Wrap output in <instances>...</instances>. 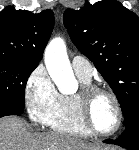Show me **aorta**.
<instances>
[{
    "label": "aorta",
    "instance_id": "aorta-1",
    "mask_svg": "<svg viewBox=\"0 0 139 150\" xmlns=\"http://www.w3.org/2000/svg\"><path fill=\"white\" fill-rule=\"evenodd\" d=\"M45 65L59 91L64 94L73 93L77 88L65 42L62 38L53 39L45 49Z\"/></svg>",
    "mask_w": 139,
    "mask_h": 150
}]
</instances>
